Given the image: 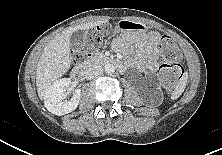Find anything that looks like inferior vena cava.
I'll return each mask as SVG.
<instances>
[{
    "mask_svg": "<svg viewBox=\"0 0 222 155\" xmlns=\"http://www.w3.org/2000/svg\"><path fill=\"white\" fill-rule=\"evenodd\" d=\"M103 73V68L100 65H87L84 67V77L91 80Z\"/></svg>",
    "mask_w": 222,
    "mask_h": 155,
    "instance_id": "inferior-vena-cava-1",
    "label": "inferior vena cava"
}]
</instances>
